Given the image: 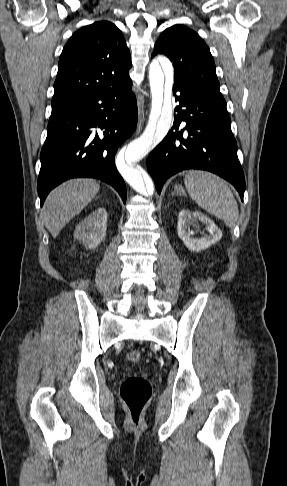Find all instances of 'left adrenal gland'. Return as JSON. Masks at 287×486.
I'll return each mask as SVG.
<instances>
[{
    "label": "left adrenal gland",
    "mask_w": 287,
    "mask_h": 486,
    "mask_svg": "<svg viewBox=\"0 0 287 486\" xmlns=\"http://www.w3.org/2000/svg\"><path fill=\"white\" fill-rule=\"evenodd\" d=\"M172 195H185V191L180 185H175Z\"/></svg>",
    "instance_id": "obj_1"
}]
</instances>
